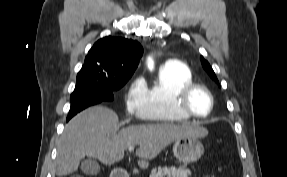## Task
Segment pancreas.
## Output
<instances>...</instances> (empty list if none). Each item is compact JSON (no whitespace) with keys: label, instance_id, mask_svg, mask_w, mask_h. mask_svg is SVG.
<instances>
[{"label":"pancreas","instance_id":"pancreas-1","mask_svg":"<svg viewBox=\"0 0 287 177\" xmlns=\"http://www.w3.org/2000/svg\"><path fill=\"white\" fill-rule=\"evenodd\" d=\"M191 175L190 170L184 168V167H159L158 169H153L151 172L150 177H188Z\"/></svg>","mask_w":287,"mask_h":177}]
</instances>
